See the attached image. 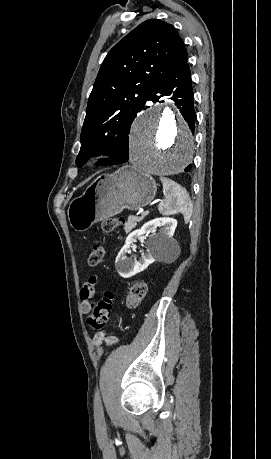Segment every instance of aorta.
Here are the masks:
<instances>
[{
  "label": "aorta",
  "instance_id": "obj_1",
  "mask_svg": "<svg viewBox=\"0 0 271 459\" xmlns=\"http://www.w3.org/2000/svg\"><path fill=\"white\" fill-rule=\"evenodd\" d=\"M194 139L185 122L168 107L154 108L133 126L130 160L147 175L168 176L192 162Z\"/></svg>",
  "mask_w": 271,
  "mask_h": 459
}]
</instances>
